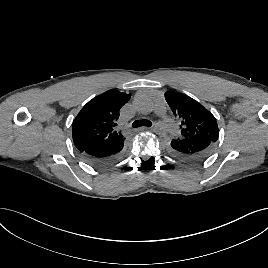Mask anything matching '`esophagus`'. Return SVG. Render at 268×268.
Segmentation results:
<instances>
[{"mask_svg":"<svg viewBox=\"0 0 268 268\" xmlns=\"http://www.w3.org/2000/svg\"><path fill=\"white\" fill-rule=\"evenodd\" d=\"M141 129H143V130H147V129L153 130L152 128H148V127H142Z\"/></svg>","mask_w":268,"mask_h":268,"instance_id":"1","label":"esophagus"}]
</instances>
